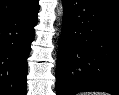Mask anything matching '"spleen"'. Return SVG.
<instances>
[{"label":"spleen","instance_id":"spleen-1","mask_svg":"<svg viewBox=\"0 0 119 95\" xmlns=\"http://www.w3.org/2000/svg\"><path fill=\"white\" fill-rule=\"evenodd\" d=\"M79 95H108V94L104 92H88V93H81Z\"/></svg>","mask_w":119,"mask_h":95}]
</instances>
